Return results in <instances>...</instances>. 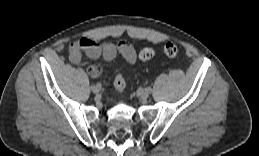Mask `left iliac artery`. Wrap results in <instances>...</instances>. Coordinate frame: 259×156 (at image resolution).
<instances>
[{"instance_id": "obj_1", "label": "left iliac artery", "mask_w": 259, "mask_h": 156, "mask_svg": "<svg viewBox=\"0 0 259 156\" xmlns=\"http://www.w3.org/2000/svg\"><path fill=\"white\" fill-rule=\"evenodd\" d=\"M148 92H149V94H152V93H153V90H152L151 87H148Z\"/></svg>"}]
</instances>
